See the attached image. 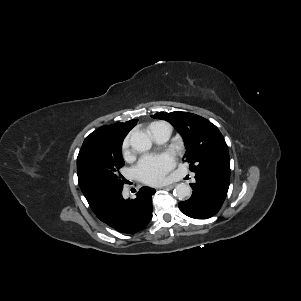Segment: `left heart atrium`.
Wrapping results in <instances>:
<instances>
[{
    "label": "left heart atrium",
    "mask_w": 301,
    "mask_h": 301,
    "mask_svg": "<svg viewBox=\"0 0 301 301\" xmlns=\"http://www.w3.org/2000/svg\"><path fill=\"white\" fill-rule=\"evenodd\" d=\"M176 159L171 153L145 155L135 167L136 177L150 185L163 183L169 172L175 167Z\"/></svg>",
    "instance_id": "39dd6f15"
}]
</instances>
